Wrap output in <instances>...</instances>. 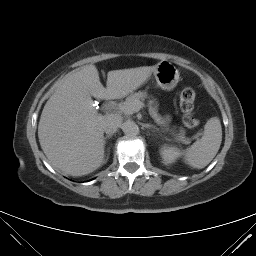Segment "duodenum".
Returning <instances> with one entry per match:
<instances>
[{
  "mask_svg": "<svg viewBox=\"0 0 256 256\" xmlns=\"http://www.w3.org/2000/svg\"><path fill=\"white\" fill-rule=\"evenodd\" d=\"M107 109L108 110H111L112 109V106L110 104L107 105Z\"/></svg>",
  "mask_w": 256,
  "mask_h": 256,
  "instance_id": "obj_1",
  "label": "duodenum"
}]
</instances>
